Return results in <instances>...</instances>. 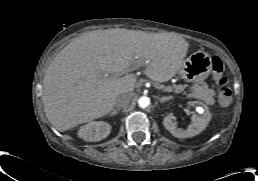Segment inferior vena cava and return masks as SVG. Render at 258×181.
<instances>
[{
    "mask_svg": "<svg viewBox=\"0 0 258 181\" xmlns=\"http://www.w3.org/2000/svg\"><path fill=\"white\" fill-rule=\"evenodd\" d=\"M131 99L132 95L130 93H123L116 98L114 106L117 109L124 108L130 103Z\"/></svg>",
    "mask_w": 258,
    "mask_h": 181,
    "instance_id": "602c4592",
    "label": "inferior vena cava"
}]
</instances>
